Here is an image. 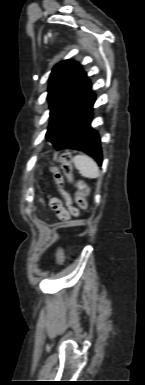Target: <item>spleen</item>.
Wrapping results in <instances>:
<instances>
[{"label":"spleen","mask_w":145,"mask_h":385,"mask_svg":"<svg viewBox=\"0 0 145 385\" xmlns=\"http://www.w3.org/2000/svg\"><path fill=\"white\" fill-rule=\"evenodd\" d=\"M73 162L80 174L86 178L94 179L100 174L96 162L87 155H76L73 158Z\"/></svg>","instance_id":"3e777b00"}]
</instances>
